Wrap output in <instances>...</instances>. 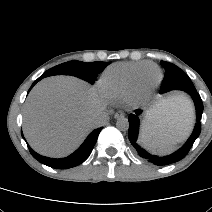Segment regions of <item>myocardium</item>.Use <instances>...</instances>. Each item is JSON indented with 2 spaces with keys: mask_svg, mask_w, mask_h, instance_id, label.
Instances as JSON below:
<instances>
[{
  "mask_svg": "<svg viewBox=\"0 0 212 212\" xmlns=\"http://www.w3.org/2000/svg\"><path fill=\"white\" fill-rule=\"evenodd\" d=\"M156 66V65H155ZM148 68H143L137 72L134 78L132 90L128 96V101L133 104H140L146 101L152 94L154 88L159 84L162 78V74L158 66H156V81L154 85L145 86L141 80V76L146 72Z\"/></svg>",
  "mask_w": 212,
  "mask_h": 212,
  "instance_id": "obj_1",
  "label": "myocardium"
}]
</instances>
